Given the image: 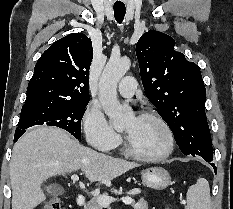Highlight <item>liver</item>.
<instances>
[{
    "label": "liver",
    "instance_id": "obj_1",
    "mask_svg": "<svg viewBox=\"0 0 233 209\" xmlns=\"http://www.w3.org/2000/svg\"><path fill=\"white\" fill-rule=\"evenodd\" d=\"M138 167L81 145L66 131L41 126L14 145L10 162L12 209H34L45 201L42 183L81 170L91 182L110 181Z\"/></svg>",
    "mask_w": 233,
    "mask_h": 209
}]
</instances>
